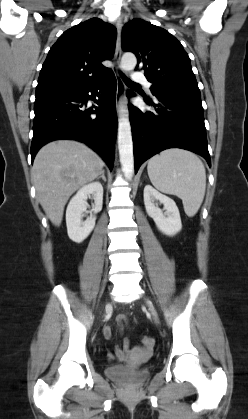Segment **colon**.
Instances as JSON below:
<instances>
[{
  "label": "colon",
  "mask_w": 248,
  "mask_h": 419,
  "mask_svg": "<svg viewBox=\"0 0 248 419\" xmlns=\"http://www.w3.org/2000/svg\"><path fill=\"white\" fill-rule=\"evenodd\" d=\"M141 341H142L143 346L146 349L151 350L153 348L154 341L151 337L144 336V337H142Z\"/></svg>",
  "instance_id": "obj_1"
}]
</instances>
